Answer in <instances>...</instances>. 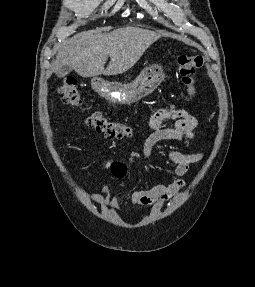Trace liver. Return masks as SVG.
<instances>
[{
	"label": "liver",
	"mask_w": 255,
	"mask_h": 287,
	"mask_svg": "<svg viewBox=\"0 0 255 287\" xmlns=\"http://www.w3.org/2000/svg\"><path fill=\"white\" fill-rule=\"evenodd\" d=\"M161 38L143 28H119L109 34L84 32L68 40L56 56V68L71 66L82 78L118 76L130 70L147 48ZM110 58L106 70L104 64Z\"/></svg>",
	"instance_id": "obj_1"
}]
</instances>
